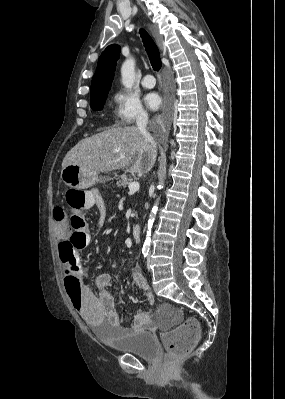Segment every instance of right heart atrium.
I'll return each instance as SVG.
<instances>
[{
  "instance_id": "obj_1",
  "label": "right heart atrium",
  "mask_w": 285,
  "mask_h": 399,
  "mask_svg": "<svg viewBox=\"0 0 285 399\" xmlns=\"http://www.w3.org/2000/svg\"><path fill=\"white\" fill-rule=\"evenodd\" d=\"M117 124L128 126L136 121L146 120L148 113L140 100L130 92L118 91L114 95Z\"/></svg>"
}]
</instances>
